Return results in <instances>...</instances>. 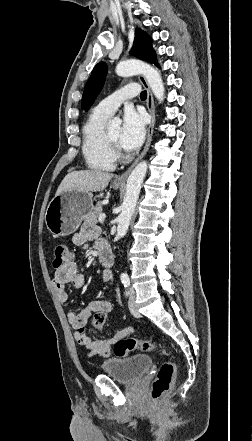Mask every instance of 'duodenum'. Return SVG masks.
Wrapping results in <instances>:
<instances>
[{"label": "duodenum", "instance_id": "duodenum-1", "mask_svg": "<svg viewBox=\"0 0 252 441\" xmlns=\"http://www.w3.org/2000/svg\"><path fill=\"white\" fill-rule=\"evenodd\" d=\"M98 255L100 263L106 268H110L113 264V254L108 245L98 247Z\"/></svg>", "mask_w": 252, "mask_h": 441}]
</instances>
